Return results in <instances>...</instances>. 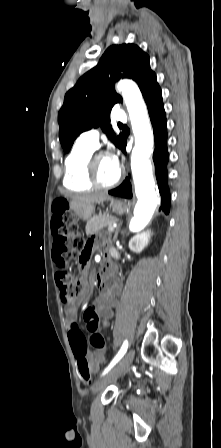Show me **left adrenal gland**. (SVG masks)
Wrapping results in <instances>:
<instances>
[{
    "label": "left adrenal gland",
    "mask_w": 221,
    "mask_h": 448,
    "mask_svg": "<svg viewBox=\"0 0 221 448\" xmlns=\"http://www.w3.org/2000/svg\"><path fill=\"white\" fill-rule=\"evenodd\" d=\"M117 235H118V231H116L114 238H117Z\"/></svg>",
    "instance_id": "left-adrenal-gland-1"
}]
</instances>
